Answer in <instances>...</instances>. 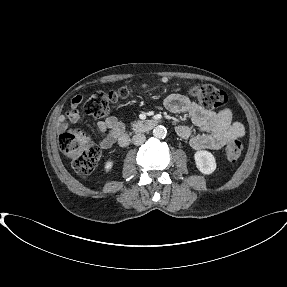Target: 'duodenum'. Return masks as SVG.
I'll return each mask as SVG.
<instances>
[{"instance_id":"obj_1","label":"duodenum","mask_w":287,"mask_h":287,"mask_svg":"<svg viewBox=\"0 0 287 287\" xmlns=\"http://www.w3.org/2000/svg\"><path fill=\"white\" fill-rule=\"evenodd\" d=\"M157 118H149L135 122L131 127L133 133H145L152 130L158 123ZM130 142V135L128 133H122L118 138L120 146L125 147Z\"/></svg>"}]
</instances>
